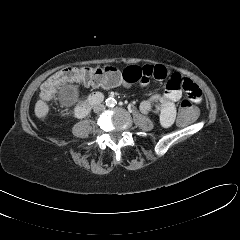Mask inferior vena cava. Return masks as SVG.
<instances>
[{"mask_svg": "<svg viewBox=\"0 0 240 240\" xmlns=\"http://www.w3.org/2000/svg\"><path fill=\"white\" fill-rule=\"evenodd\" d=\"M103 109V106H95L94 107V112H99L100 110H102Z\"/></svg>", "mask_w": 240, "mask_h": 240, "instance_id": "inferior-vena-cava-1", "label": "inferior vena cava"}]
</instances>
